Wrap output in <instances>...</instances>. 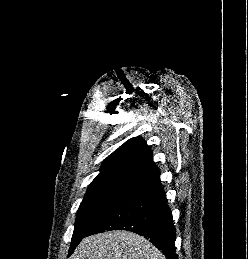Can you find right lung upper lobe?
I'll use <instances>...</instances> for the list:
<instances>
[{
  "instance_id": "cb5924a9",
  "label": "right lung upper lobe",
  "mask_w": 248,
  "mask_h": 259,
  "mask_svg": "<svg viewBox=\"0 0 248 259\" xmlns=\"http://www.w3.org/2000/svg\"><path fill=\"white\" fill-rule=\"evenodd\" d=\"M158 172L145 141L141 137H134L104 161L100 173L89 186L114 182L134 185Z\"/></svg>"
}]
</instances>
